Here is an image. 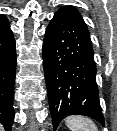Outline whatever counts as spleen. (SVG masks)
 Listing matches in <instances>:
<instances>
[{
  "mask_svg": "<svg viewBox=\"0 0 117 131\" xmlns=\"http://www.w3.org/2000/svg\"><path fill=\"white\" fill-rule=\"evenodd\" d=\"M65 124L71 131H98L94 122L84 116H69Z\"/></svg>",
  "mask_w": 117,
  "mask_h": 131,
  "instance_id": "3e777b00",
  "label": "spleen"
}]
</instances>
